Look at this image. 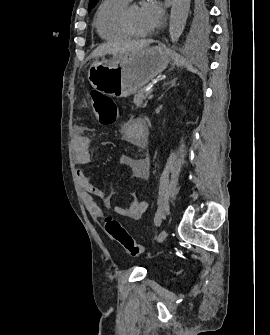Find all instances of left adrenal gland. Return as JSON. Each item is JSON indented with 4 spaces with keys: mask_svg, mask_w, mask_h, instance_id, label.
Returning <instances> with one entry per match:
<instances>
[{
    "mask_svg": "<svg viewBox=\"0 0 270 335\" xmlns=\"http://www.w3.org/2000/svg\"><path fill=\"white\" fill-rule=\"evenodd\" d=\"M177 80L178 78H174V80H171V82H165L163 86H169L168 90H170V88H174V86H176Z\"/></svg>",
    "mask_w": 270,
    "mask_h": 335,
    "instance_id": "1",
    "label": "left adrenal gland"
}]
</instances>
